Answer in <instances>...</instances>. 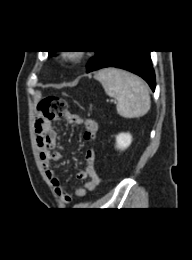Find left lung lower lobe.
Listing matches in <instances>:
<instances>
[{
  "label": "left lung lower lobe",
  "instance_id": "1",
  "mask_svg": "<svg viewBox=\"0 0 192 260\" xmlns=\"http://www.w3.org/2000/svg\"><path fill=\"white\" fill-rule=\"evenodd\" d=\"M105 67L122 68L133 72L142 77L153 91L155 90V74L148 50H101L89 64L87 73Z\"/></svg>",
  "mask_w": 192,
  "mask_h": 260
}]
</instances>
